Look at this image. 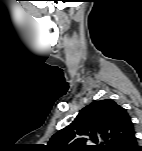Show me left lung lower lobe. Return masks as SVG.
Here are the masks:
<instances>
[{
    "instance_id": "1",
    "label": "left lung lower lobe",
    "mask_w": 142,
    "mask_h": 151,
    "mask_svg": "<svg viewBox=\"0 0 142 151\" xmlns=\"http://www.w3.org/2000/svg\"><path fill=\"white\" fill-rule=\"evenodd\" d=\"M118 151H142V147L137 146L135 131L124 140Z\"/></svg>"
}]
</instances>
